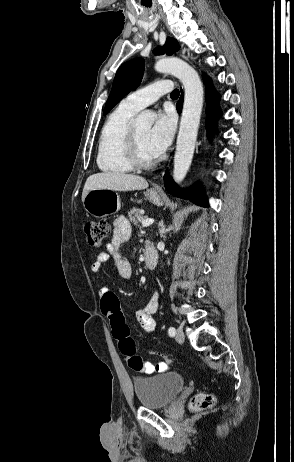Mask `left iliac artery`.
I'll return each mask as SVG.
<instances>
[{
  "instance_id": "44dca946",
  "label": "left iliac artery",
  "mask_w": 294,
  "mask_h": 462,
  "mask_svg": "<svg viewBox=\"0 0 294 462\" xmlns=\"http://www.w3.org/2000/svg\"><path fill=\"white\" fill-rule=\"evenodd\" d=\"M168 334H169L170 337H173L175 335V328L170 327L169 330H168Z\"/></svg>"
}]
</instances>
